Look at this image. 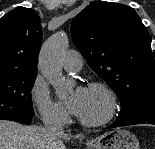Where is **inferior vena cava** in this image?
I'll list each match as a JSON object with an SVG mask.
<instances>
[{
	"mask_svg": "<svg viewBox=\"0 0 155 149\" xmlns=\"http://www.w3.org/2000/svg\"><path fill=\"white\" fill-rule=\"evenodd\" d=\"M43 124L44 129L53 138L64 133L62 122L53 113H46L43 115Z\"/></svg>",
	"mask_w": 155,
	"mask_h": 149,
	"instance_id": "602c4592",
	"label": "inferior vena cava"
}]
</instances>
